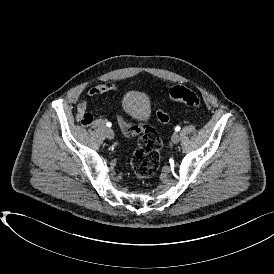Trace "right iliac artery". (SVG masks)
Returning a JSON list of instances; mask_svg holds the SVG:
<instances>
[{"mask_svg": "<svg viewBox=\"0 0 274 274\" xmlns=\"http://www.w3.org/2000/svg\"><path fill=\"white\" fill-rule=\"evenodd\" d=\"M106 125H107V127H111L112 126V124L110 122H107Z\"/></svg>", "mask_w": 274, "mask_h": 274, "instance_id": "obj_1", "label": "right iliac artery"}]
</instances>
